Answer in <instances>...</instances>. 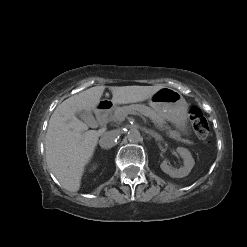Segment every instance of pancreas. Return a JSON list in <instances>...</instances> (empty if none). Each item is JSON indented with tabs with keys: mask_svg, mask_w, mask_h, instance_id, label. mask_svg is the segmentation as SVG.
I'll use <instances>...</instances> for the list:
<instances>
[{
	"mask_svg": "<svg viewBox=\"0 0 247 247\" xmlns=\"http://www.w3.org/2000/svg\"><path fill=\"white\" fill-rule=\"evenodd\" d=\"M131 112L149 117L155 124V126L159 129H162L164 127V119L150 107L141 104H132L128 106L117 107L115 111L109 115L108 120L119 124ZM167 135L175 140H181L180 135L176 131H169Z\"/></svg>",
	"mask_w": 247,
	"mask_h": 247,
	"instance_id": "obj_1",
	"label": "pancreas"
}]
</instances>
